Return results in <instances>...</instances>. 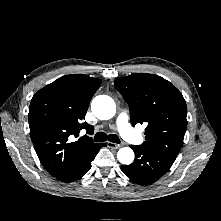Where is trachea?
I'll use <instances>...</instances> for the list:
<instances>
[{"mask_svg": "<svg viewBox=\"0 0 221 221\" xmlns=\"http://www.w3.org/2000/svg\"><path fill=\"white\" fill-rule=\"evenodd\" d=\"M106 140L113 142V143H120V139L116 134L107 135L104 132H98L94 136L95 142H104Z\"/></svg>", "mask_w": 221, "mask_h": 221, "instance_id": "3493384b", "label": "trachea"}]
</instances>
